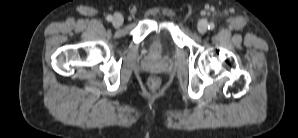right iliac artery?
Returning <instances> with one entry per match:
<instances>
[{"instance_id": "1", "label": "right iliac artery", "mask_w": 298, "mask_h": 138, "mask_svg": "<svg viewBox=\"0 0 298 138\" xmlns=\"http://www.w3.org/2000/svg\"><path fill=\"white\" fill-rule=\"evenodd\" d=\"M106 19H107V21H112V19H113V17L111 16V15H108L107 17H106Z\"/></svg>"}]
</instances>
